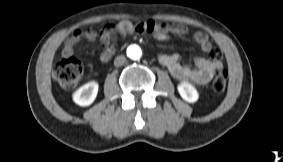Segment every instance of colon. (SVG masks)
Listing matches in <instances>:
<instances>
[{"mask_svg": "<svg viewBox=\"0 0 283 162\" xmlns=\"http://www.w3.org/2000/svg\"><path fill=\"white\" fill-rule=\"evenodd\" d=\"M83 67L81 62L73 57H64L55 66L53 74L58 83L67 89L73 88L77 85ZM227 84V71L219 69L216 71L212 81V88L215 92L221 93L225 90Z\"/></svg>", "mask_w": 283, "mask_h": 162, "instance_id": "5ec220e1", "label": "colon"}]
</instances>
